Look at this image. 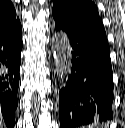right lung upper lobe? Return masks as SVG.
Here are the masks:
<instances>
[{"mask_svg": "<svg viewBox=\"0 0 125 128\" xmlns=\"http://www.w3.org/2000/svg\"><path fill=\"white\" fill-rule=\"evenodd\" d=\"M19 18L15 17V8L10 0H0V32L19 24Z\"/></svg>", "mask_w": 125, "mask_h": 128, "instance_id": "right-lung-upper-lobe-1", "label": "right lung upper lobe"}]
</instances>
